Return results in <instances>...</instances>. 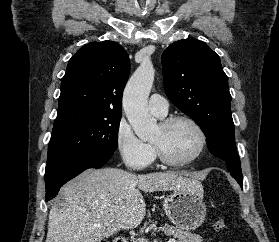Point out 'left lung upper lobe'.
<instances>
[{
    "instance_id": "left-lung-upper-lobe-1",
    "label": "left lung upper lobe",
    "mask_w": 279,
    "mask_h": 242,
    "mask_svg": "<svg viewBox=\"0 0 279 242\" xmlns=\"http://www.w3.org/2000/svg\"><path fill=\"white\" fill-rule=\"evenodd\" d=\"M165 92L201 127L210 152L226 161L235 180H243L235 147L231 95L219 56L196 39L171 44L162 54Z\"/></svg>"
}]
</instances>
